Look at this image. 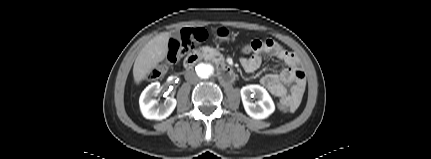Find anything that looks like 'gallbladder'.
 Masks as SVG:
<instances>
[{
	"mask_svg": "<svg viewBox=\"0 0 431 159\" xmlns=\"http://www.w3.org/2000/svg\"><path fill=\"white\" fill-rule=\"evenodd\" d=\"M171 36H172V38H174L177 41H180V39H181V34L179 31H173Z\"/></svg>",
	"mask_w": 431,
	"mask_h": 159,
	"instance_id": "obj_1",
	"label": "gallbladder"
}]
</instances>
